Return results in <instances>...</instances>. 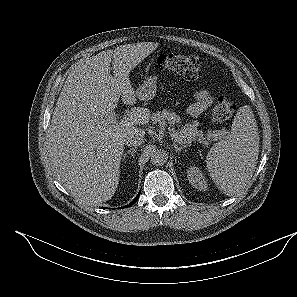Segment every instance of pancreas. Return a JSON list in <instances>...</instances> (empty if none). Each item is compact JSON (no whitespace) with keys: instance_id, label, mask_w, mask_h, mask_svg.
I'll return each instance as SVG.
<instances>
[{"instance_id":"1","label":"pancreas","mask_w":297,"mask_h":297,"mask_svg":"<svg viewBox=\"0 0 297 297\" xmlns=\"http://www.w3.org/2000/svg\"><path fill=\"white\" fill-rule=\"evenodd\" d=\"M153 123H163L168 122L170 125H174L175 123L180 124V117L176 115L174 112H171L167 109H163L161 111H157L152 115ZM179 136L183 138V143L190 144L192 141H198L205 145H208L211 138L213 137V133L208 131L204 133L201 130H198L197 125L195 123H188L184 127H181L177 132Z\"/></svg>"}]
</instances>
